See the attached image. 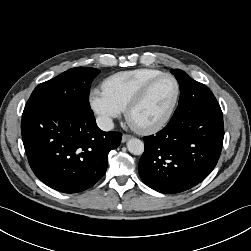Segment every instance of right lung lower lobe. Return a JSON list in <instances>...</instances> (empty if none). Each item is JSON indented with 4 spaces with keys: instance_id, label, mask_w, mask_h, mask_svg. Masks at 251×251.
I'll return each instance as SVG.
<instances>
[{
    "instance_id": "98d812e1",
    "label": "right lung lower lobe",
    "mask_w": 251,
    "mask_h": 251,
    "mask_svg": "<svg viewBox=\"0 0 251 251\" xmlns=\"http://www.w3.org/2000/svg\"><path fill=\"white\" fill-rule=\"evenodd\" d=\"M21 132L34 174L49 187L76 193L92 187L105 174L108 153L121 142V133L104 132L92 110L61 108L28 101Z\"/></svg>"
}]
</instances>
